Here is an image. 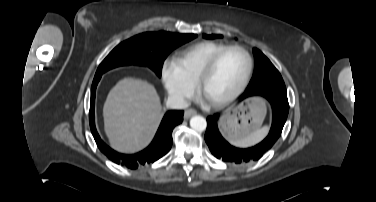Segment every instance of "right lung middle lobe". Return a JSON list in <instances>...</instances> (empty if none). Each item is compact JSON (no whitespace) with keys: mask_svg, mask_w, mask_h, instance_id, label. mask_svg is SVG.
<instances>
[{"mask_svg":"<svg viewBox=\"0 0 376 202\" xmlns=\"http://www.w3.org/2000/svg\"><path fill=\"white\" fill-rule=\"evenodd\" d=\"M196 34H178L165 31L147 32L134 36L115 47L99 65L94 80L106 71L122 65H143L159 77L168 54L178 46L194 39Z\"/></svg>","mask_w":376,"mask_h":202,"instance_id":"dd1d6c3e","label":"right lung middle lobe"}]
</instances>
